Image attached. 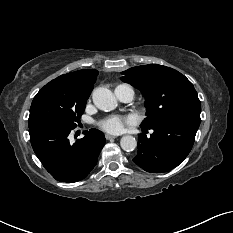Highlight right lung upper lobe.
I'll list each match as a JSON object with an SVG mask.
<instances>
[{
  "instance_id": "right-lung-upper-lobe-1",
  "label": "right lung upper lobe",
  "mask_w": 233,
  "mask_h": 233,
  "mask_svg": "<svg viewBox=\"0 0 233 233\" xmlns=\"http://www.w3.org/2000/svg\"><path fill=\"white\" fill-rule=\"evenodd\" d=\"M97 75V70L84 69L69 74L61 75L58 78L54 79V81L59 82L60 84L72 91L82 92L90 95L93 89V84L96 81Z\"/></svg>"
}]
</instances>
